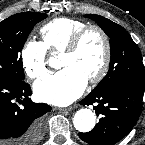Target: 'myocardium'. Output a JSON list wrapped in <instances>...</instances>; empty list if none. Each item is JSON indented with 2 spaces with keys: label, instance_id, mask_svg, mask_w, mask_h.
Segmentation results:
<instances>
[{
  "label": "myocardium",
  "instance_id": "myocardium-1",
  "mask_svg": "<svg viewBox=\"0 0 145 145\" xmlns=\"http://www.w3.org/2000/svg\"><path fill=\"white\" fill-rule=\"evenodd\" d=\"M92 31L99 34V36L101 37V39L103 41V46H104V56H103V61H102L101 67L93 77L88 79L89 83L97 84V83L101 82L104 79V77L107 75L109 68H110V64H111V58H112L110 39H109L107 33L100 26L93 25V24L86 25L83 28H81L80 30H78L72 36V38L70 39V41L68 42V44L66 45V47L64 48V50L61 53L63 55V54H70V53L75 52L79 48L84 37L89 32H92Z\"/></svg>",
  "mask_w": 145,
  "mask_h": 145
}]
</instances>
